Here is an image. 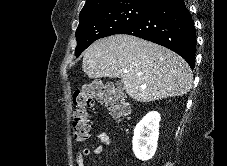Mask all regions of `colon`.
Segmentation results:
<instances>
[{
	"mask_svg": "<svg viewBox=\"0 0 227 166\" xmlns=\"http://www.w3.org/2000/svg\"><path fill=\"white\" fill-rule=\"evenodd\" d=\"M95 99L106 106L117 121L131 113V103L118 88L97 80L83 84L73 95L72 132L77 142H84L89 138L90 111Z\"/></svg>",
	"mask_w": 227,
	"mask_h": 166,
	"instance_id": "5ec220e1",
	"label": "colon"
}]
</instances>
